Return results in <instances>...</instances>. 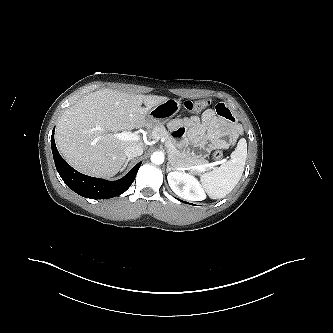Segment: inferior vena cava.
Returning a JSON list of instances; mask_svg holds the SVG:
<instances>
[{
    "mask_svg": "<svg viewBox=\"0 0 333 333\" xmlns=\"http://www.w3.org/2000/svg\"><path fill=\"white\" fill-rule=\"evenodd\" d=\"M125 154L128 158L137 157L143 154V148L139 145H130L126 147Z\"/></svg>",
    "mask_w": 333,
    "mask_h": 333,
    "instance_id": "inferior-vena-cava-1",
    "label": "inferior vena cava"
}]
</instances>
